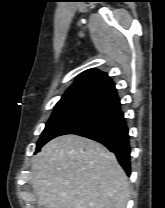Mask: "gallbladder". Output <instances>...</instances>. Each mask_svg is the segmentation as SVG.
<instances>
[{"label":"gallbladder","mask_w":165,"mask_h":208,"mask_svg":"<svg viewBox=\"0 0 165 208\" xmlns=\"http://www.w3.org/2000/svg\"><path fill=\"white\" fill-rule=\"evenodd\" d=\"M38 208H45L44 206H39Z\"/></svg>","instance_id":"1"}]
</instances>
